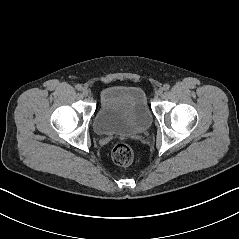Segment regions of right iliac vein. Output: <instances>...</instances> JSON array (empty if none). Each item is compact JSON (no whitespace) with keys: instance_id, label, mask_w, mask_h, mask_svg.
Listing matches in <instances>:
<instances>
[{"instance_id":"obj_1","label":"right iliac vein","mask_w":239,"mask_h":239,"mask_svg":"<svg viewBox=\"0 0 239 239\" xmlns=\"http://www.w3.org/2000/svg\"><path fill=\"white\" fill-rule=\"evenodd\" d=\"M82 94H83L84 96H88V95H89L88 89H87V88H83V89H82Z\"/></svg>"}]
</instances>
